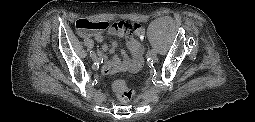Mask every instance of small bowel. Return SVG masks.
<instances>
[{
  "mask_svg": "<svg viewBox=\"0 0 255 122\" xmlns=\"http://www.w3.org/2000/svg\"><path fill=\"white\" fill-rule=\"evenodd\" d=\"M109 35H117L120 38H127V46L131 52L132 58L127 56L125 51H121L120 55H116L113 57L111 61H105L103 63V71L105 73L110 72H117V71H130L136 72L138 71L143 64V53L144 47L141 44L139 39H144V36L141 38H136L133 35L127 34L125 30H115L109 29L107 31ZM85 38H91L98 43L103 42L104 37L101 32H92L84 36ZM118 44L116 41L112 42L111 46L109 47L110 52H115ZM108 49L107 46L103 47V50L106 51Z\"/></svg>",
  "mask_w": 255,
  "mask_h": 122,
  "instance_id": "small-bowel-1",
  "label": "small bowel"
}]
</instances>
